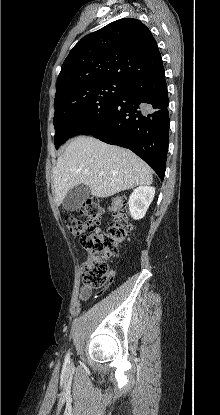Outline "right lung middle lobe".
<instances>
[{
	"label": "right lung middle lobe",
	"mask_w": 220,
	"mask_h": 415,
	"mask_svg": "<svg viewBox=\"0 0 220 415\" xmlns=\"http://www.w3.org/2000/svg\"><path fill=\"white\" fill-rule=\"evenodd\" d=\"M127 83L115 80L75 84L54 100L55 147L70 137L90 135L103 125Z\"/></svg>",
	"instance_id": "1"
}]
</instances>
